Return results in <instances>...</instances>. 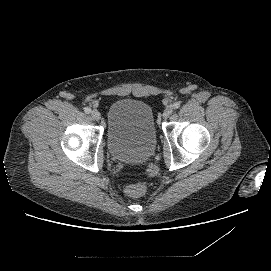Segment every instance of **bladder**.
Here are the masks:
<instances>
[{"label":"bladder","instance_id":"bladder-1","mask_svg":"<svg viewBox=\"0 0 271 271\" xmlns=\"http://www.w3.org/2000/svg\"><path fill=\"white\" fill-rule=\"evenodd\" d=\"M107 143L115 160L133 164L148 161L157 144L151 107L136 99L113 102L108 109Z\"/></svg>","mask_w":271,"mask_h":271}]
</instances>
